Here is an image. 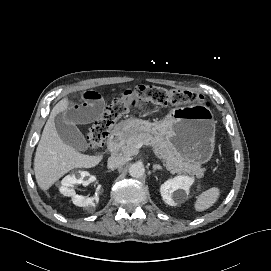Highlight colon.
Instances as JSON below:
<instances>
[{"label":"colon","mask_w":271,"mask_h":271,"mask_svg":"<svg viewBox=\"0 0 271 271\" xmlns=\"http://www.w3.org/2000/svg\"><path fill=\"white\" fill-rule=\"evenodd\" d=\"M131 92L136 95L139 100L157 105H177L187 102H201V97L199 95L179 89L139 86L134 90H131ZM129 108L130 105L127 99L118 98L95 120L88 133V144L91 150H97L104 144L111 127L118 119L127 114Z\"/></svg>","instance_id":"5ec220e1"}]
</instances>
